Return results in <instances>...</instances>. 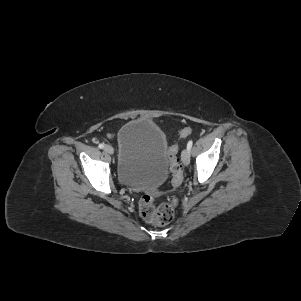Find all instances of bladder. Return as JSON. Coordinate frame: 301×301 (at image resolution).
<instances>
[{
    "mask_svg": "<svg viewBox=\"0 0 301 301\" xmlns=\"http://www.w3.org/2000/svg\"><path fill=\"white\" fill-rule=\"evenodd\" d=\"M116 172L119 181L134 188H154L167 177L168 141L162 129L146 119L124 124L117 135Z\"/></svg>",
    "mask_w": 301,
    "mask_h": 301,
    "instance_id": "31cf9c89",
    "label": "bladder"
}]
</instances>
